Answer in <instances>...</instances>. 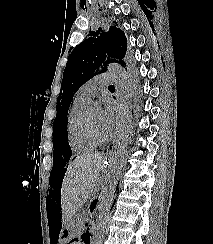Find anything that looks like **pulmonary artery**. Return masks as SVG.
Returning <instances> with one entry per match:
<instances>
[{
	"instance_id": "e3ab8cb5",
	"label": "pulmonary artery",
	"mask_w": 213,
	"mask_h": 244,
	"mask_svg": "<svg viewBox=\"0 0 213 244\" xmlns=\"http://www.w3.org/2000/svg\"><path fill=\"white\" fill-rule=\"evenodd\" d=\"M113 81L114 76L110 73L98 74L82 85L77 93L79 96L91 100L100 87L107 86Z\"/></svg>"
}]
</instances>
